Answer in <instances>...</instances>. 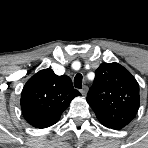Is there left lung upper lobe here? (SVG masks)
<instances>
[{
  "mask_svg": "<svg viewBox=\"0 0 148 148\" xmlns=\"http://www.w3.org/2000/svg\"><path fill=\"white\" fill-rule=\"evenodd\" d=\"M86 100L102 125L110 129H121L136 116L139 85L120 64L102 63L96 70Z\"/></svg>",
  "mask_w": 148,
  "mask_h": 148,
  "instance_id": "1",
  "label": "left lung upper lobe"
}]
</instances>
